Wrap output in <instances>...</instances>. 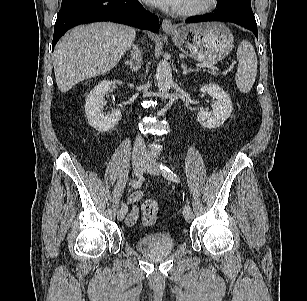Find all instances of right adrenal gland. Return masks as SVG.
<instances>
[{
	"mask_svg": "<svg viewBox=\"0 0 307 301\" xmlns=\"http://www.w3.org/2000/svg\"><path fill=\"white\" fill-rule=\"evenodd\" d=\"M135 49H136V47L133 46V53H132L133 57H132V59L125 61V65H129L131 71H133V72L137 71L140 68L139 62L137 60H134Z\"/></svg>",
	"mask_w": 307,
	"mask_h": 301,
	"instance_id": "obj_1",
	"label": "right adrenal gland"
}]
</instances>
